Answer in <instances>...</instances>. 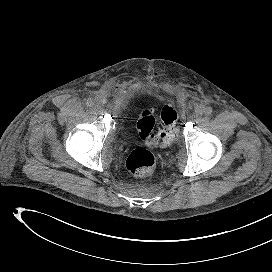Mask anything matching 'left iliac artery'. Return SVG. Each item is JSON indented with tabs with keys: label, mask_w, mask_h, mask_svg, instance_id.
<instances>
[{
	"label": "left iliac artery",
	"mask_w": 272,
	"mask_h": 272,
	"mask_svg": "<svg viewBox=\"0 0 272 272\" xmlns=\"http://www.w3.org/2000/svg\"><path fill=\"white\" fill-rule=\"evenodd\" d=\"M212 112H213L212 107H206V108L204 109V114H205L206 116H210V115L212 114Z\"/></svg>",
	"instance_id": "1"
}]
</instances>
